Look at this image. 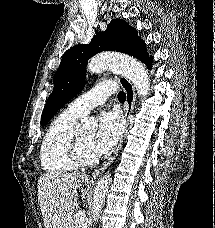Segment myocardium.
Wrapping results in <instances>:
<instances>
[{"instance_id":"myocardium-1","label":"myocardium","mask_w":215,"mask_h":228,"mask_svg":"<svg viewBox=\"0 0 215 228\" xmlns=\"http://www.w3.org/2000/svg\"><path fill=\"white\" fill-rule=\"evenodd\" d=\"M69 154L79 167H91L98 163V157H89L83 151L76 134H73L68 144Z\"/></svg>"}]
</instances>
